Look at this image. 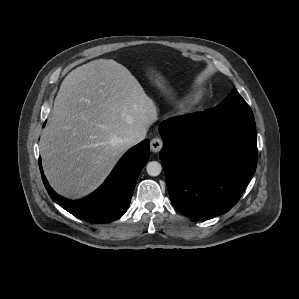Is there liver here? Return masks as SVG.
Returning <instances> with one entry per match:
<instances>
[{"instance_id": "liver-1", "label": "liver", "mask_w": 299, "mask_h": 299, "mask_svg": "<svg viewBox=\"0 0 299 299\" xmlns=\"http://www.w3.org/2000/svg\"><path fill=\"white\" fill-rule=\"evenodd\" d=\"M157 119L153 100L125 66L97 59L77 67L63 80L42 133L50 185L66 198L88 195L129 148L122 139Z\"/></svg>"}]
</instances>
